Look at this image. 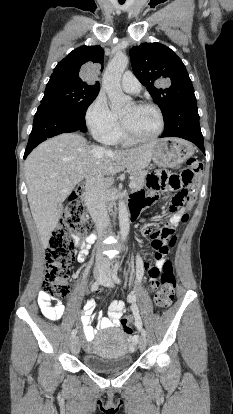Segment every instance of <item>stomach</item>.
Segmentation results:
<instances>
[{"label": "stomach", "instance_id": "stomach-1", "mask_svg": "<svg viewBox=\"0 0 233 414\" xmlns=\"http://www.w3.org/2000/svg\"><path fill=\"white\" fill-rule=\"evenodd\" d=\"M193 155L192 145L177 139L157 140L153 152V161L161 167L178 168Z\"/></svg>", "mask_w": 233, "mask_h": 414}]
</instances>
